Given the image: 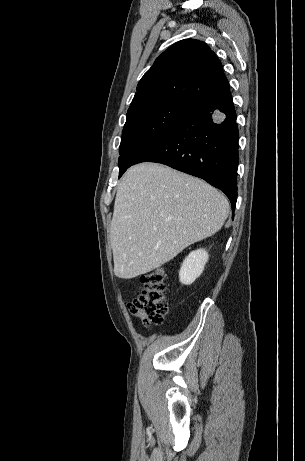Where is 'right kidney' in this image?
<instances>
[{
    "instance_id": "right-kidney-1",
    "label": "right kidney",
    "mask_w": 305,
    "mask_h": 461,
    "mask_svg": "<svg viewBox=\"0 0 305 461\" xmlns=\"http://www.w3.org/2000/svg\"><path fill=\"white\" fill-rule=\"evenodd\" d=\"M209 255L204 249L192 251L183 261L179 271L180 282L184 285L192 284L203 272Z\"/></svg>"
}]
</instances>
